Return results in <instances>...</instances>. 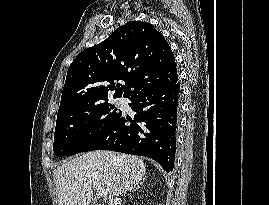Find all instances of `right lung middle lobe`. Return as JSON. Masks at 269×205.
Returning <instances> with one entry per match:
<instances>
[{"label": "right lung middle lobe", "instance_id": "dd1d6c3e", "mask_svg": "<svg viewBox=\"0 0 269 205\" xmlns=\"http://www.w3.org/2000/svg\"><path fill=\"white\" fill-rule=\"evenodd\" d=\"M121 115L118 108L104 101L57 118L54 153L62 157L85 151Z\"/></svg>", "mask_w": 269, "mask_h": 205}]
</instances>
